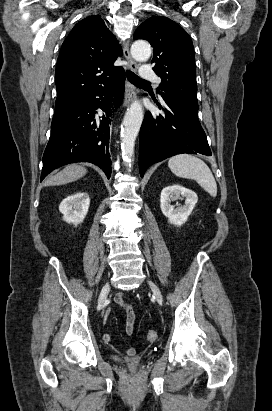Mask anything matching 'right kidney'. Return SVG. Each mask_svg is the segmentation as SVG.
Wrapping results in <instances>:
<instances>
[{"label":"right kidney","instance_id":"ca27d5eb","mask_svg":"<svg viewBox=\"0 0 272 411\" xmlns=\"http://www.w3.org/2000/svg\"><path fill=\"white\" fill-rule=\"evenodd\" d=\"M90 205L89 195L85 192H77L66 197L59 206L63 214V220L75 226L82 223L87 215Z\"/></svg>","mask_w":272,"mask_h":411}]
</instances>
